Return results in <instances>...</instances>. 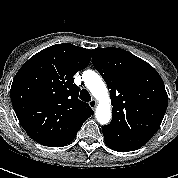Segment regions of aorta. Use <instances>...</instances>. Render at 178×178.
<instances>
[{"instance_id":"762f6f07","label":"aorta","mask_w":178,"mask_h":178,"mask_svg":"<svg viewBox=\"0 0 178 178\" xmlns=\"http://www.w3.org/2000/svg\"><path fill=\"white\" fill-rule=\"evenodd\" d=\"M85 86L99 101L96 108V119L102 124H108L111 119V101L108 89L102 78L94 71L88 70L83 73Z\"/></svg>"}]
</instances>
